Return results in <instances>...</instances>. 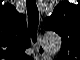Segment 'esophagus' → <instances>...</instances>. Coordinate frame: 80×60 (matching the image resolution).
<instances>
[{"instance_id": "esophagus-1", "label": "esophagus", "mask_w": 80, "mask_h": 60, "mask_svg": "<svg viewBox=\"0 0 80 60\" xmlns=\"http://www.w3.org/2000/svg\"><path fill=\"white\" fill-rule=\"evenodd\" d=\"M42 36L41 34H38V53L42 58H45V56L47 55V51L46 49L43 47V43H42Z\"/></svg>"}]
</instances>
